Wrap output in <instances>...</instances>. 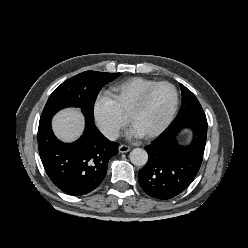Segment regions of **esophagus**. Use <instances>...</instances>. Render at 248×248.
I'll list each match as a JSON object with an SVG mask.
<instances>
[{"label": "esophagus", "mask_w": 248, "mask_h": 248, "mask_svg": "<svg viewBox=\"0 0 248 248\" xmlns=\"http://www.w3.org/2000/svg\"><path fill=\"white\" fill-rule=\"evenodd\" d=\"M118 149L120 153H127L130 151V147L127 145H120Z\"/></svg>", "instance_id": "1"}]
</instances>
